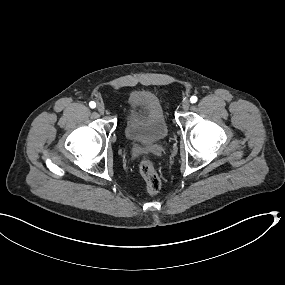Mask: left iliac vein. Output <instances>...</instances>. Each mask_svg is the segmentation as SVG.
<instances>
[{"instance_id":"4c4485c4","label":"left iliac vein","mask_w":285,"mask_h":285,"mask_svg":"<svg viewBox=\"0 0 285 285\" xmlns=\"http://www.w3.org/2000/svg\"><path fill=\"white\" fill-rule=\"evenodd\" d=\"M189 107H190V101L188 99L183 100V102H182L183 110H188Z\"/></svg>"}]
</instances>
